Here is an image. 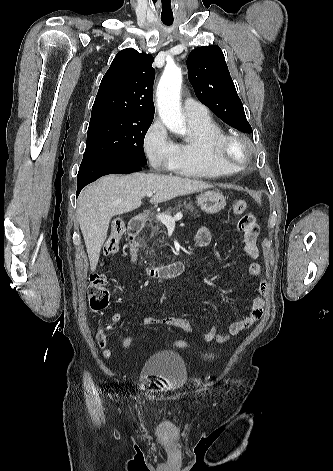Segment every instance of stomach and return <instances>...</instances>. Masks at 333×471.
I'll list each match as a JSON object with an SVG mask.
<instances>
[{"label":"stomach","mask_w":333,"mask_h":471,"mask_svg":"<svg viewBox=\"0 0 333 471\" xmlns=\"http://www.w3.org/2000/svg\"><path fill=\"white\" fill-rule=\"evenodd\" d=\"M197 205L207 214H215L226 206V197L219 191H207L197 197Z\"/></svg>","instance_id":"0dacf381"}]
</instances>
